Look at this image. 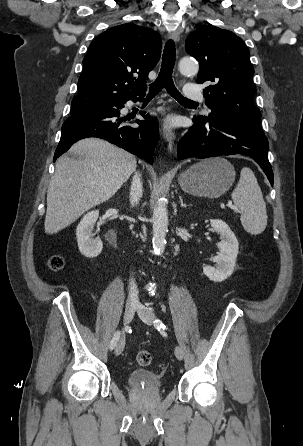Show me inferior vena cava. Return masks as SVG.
<instances>
[{"mask_svg": "<svg viewBox=\"0 0 303 446\" xmlns=\"http://www.w3.org/2000/svg\"><path fill=\"white\" fill-rule=\"evenodd\" d=\"M142 192L143 190H142V182L140 181V175L136 173L133 177L130 190V202L132 206L138 204L140 198L142 197ZM128 288H129L128 301L137 302L138 290L135 281L133 279H131V281L129 282Z\"/></svg>", "mask_w": 303, "mask_h": 446, "instance_id": "inferior-vena-cava-1", "label": "inferior vena cava"}]
</instances>
